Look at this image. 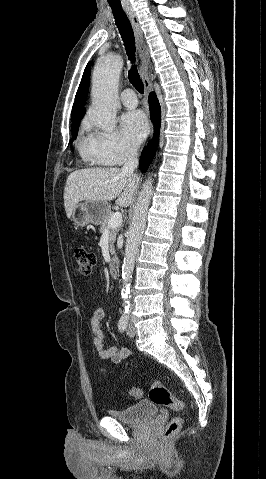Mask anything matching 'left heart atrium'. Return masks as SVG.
Returning a JSON list of instances; mask_svg holds the SVG:
<instances>
[{
	"label": "left heart atrium",
	"instance_id": "left-heart-atrium-1",
	"mask_svg": "<svg viewBox=\"0 0 266 479\" xmlns=\"http://www.w3.org/2000/svg\"><path fill=\"white\" fill-rule=\"evenodd\" d=\"M121 127L126 141L138 145L148 133V122L143 112L139 110L125 113L121 118Z\"/></svg>",
	"mask_w": 266,
	"mask_h": 479
}]
</instances>
